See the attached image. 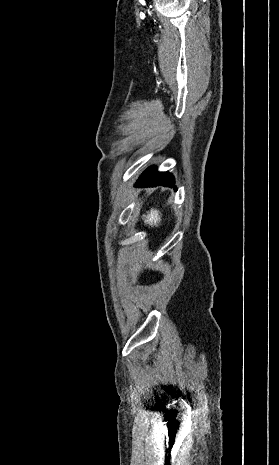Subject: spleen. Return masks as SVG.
I'll return each instance as SVG.
<instances>
[{
    "label": "spleen",
    "mask_w": 279,
    "mask_h": 465,
    "mask_svg": "<svg viewBox=\"0 0 279 465\" xmlns=\"http://www.w3.org/2000/svg\"><path fill=\"white\" fill-rule=\"evenodd\" d=\"M160 216H159V211L151 209L148 215L145 218V223H148L150 225H157V223L160 222Z\"/></svg>",
    "instance_id": "spleen-1"
}]
</instances>
